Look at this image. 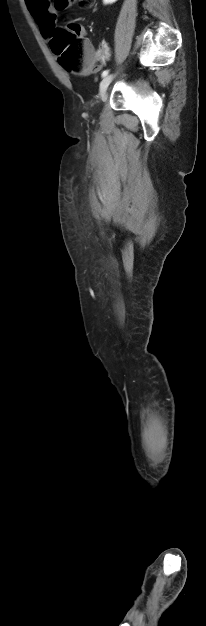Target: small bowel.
Segmentation results:
<instances>
[{
    "mask_svg": "<svg viewBox=\"0 0 206 626\" xmlns=\"http://www.w3.org/2000/svg\"><path fill=\"white\" fill-rule=\"evenodd\" d=\"M29 9L34 16L35 20L38 22L41 32L43 36L48 40L52 50L54 51L53 41H54V33H55V21H56V13L49 6V3L46 0H32L28 3ZM78 35L84 39L85 46L88 50V55L84 61V64L80 70H72L70 69L61 55H59L60 64L72 74L76 76H88L100 69V63L107 61L111 56V51L109 46L106 43H102L98 49H93L91 42L86 38L87 31L84 27H79Z\"/></svg>",
    "mask_w": 206,
    "mask_h": 626,
    "instance_id": "obj_1",
    "label": "small bowel"
}]
</instances>
